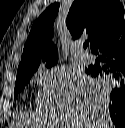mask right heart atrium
I'll list each match as a JSON object with an SVG mask.
<instances>
[{"mask_svg":"<svg viewBox=\"0 0 125 128\" xmlns=\"http://www.w3.org/2000/svg\"><path fill=\"white\" fill-rule=\"evenodd\" d=\"M36 80L42 92H48L52 83V74L46 71H41L36 75Z\"/></svg>","mask_w":125,"mask_h":128,"instance_id":"d8ad5b80","label":"right heart atrium"}]
</instances>
